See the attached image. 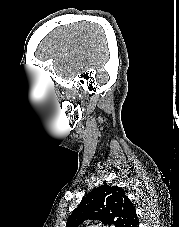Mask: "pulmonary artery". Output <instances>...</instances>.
Returning <instances> with one entry per match:
<instances>
[{
	"label": "pulmonary artery",
	"mask_w": 179,
	"mask_h": 227,
	"mask_svg": "<svg viewBox=\"0 0 179 227\" xmlns=\"http://www.w3.org/2000/svg\"><path fill=\"white\" fill-rule=\"evenodd\" d=\"M92 227H102V226L97 225V226H92ZM104 227H112V226H104Z\"/></svg>",
	"instance_id": "e3ab8cb5"
}]
</instances>
